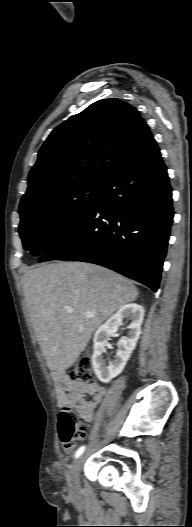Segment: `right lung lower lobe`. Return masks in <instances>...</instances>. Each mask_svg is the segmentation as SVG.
Instances as JSON below:
<instances>
[{"label":"right lung lower lobe","mask_w":192,"mask_h":527,"mask_svg":"<svg viewBox=\"0 0 192 527\" xmlns=\"http://www.w3.org/2000/svg\"><path fill=\"white\" fill-rule=\"evenodd\" d=\"M173 216L167 168L153 140L105 184L85 218L39 262L94 263L157 291Z\"/></svg>","instance_id":"1"}]
</instances>
